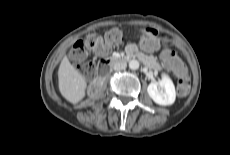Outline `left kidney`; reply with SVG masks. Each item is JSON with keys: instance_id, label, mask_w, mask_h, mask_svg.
I'll list each match as a JSON object with an SVG mask.
<instances>
[{"instance_id": "1", "label": "left kidney", "mask_w": 230, "mask_h": 155, "mask_svg": "<svg viewBox=\"0 0 230 155\" xmlns=\"http://www.w3.org/2000/svg\"><path fill=\"white\" fill-rule=\"evenodd\" d=\"M147 92L153 101L159 105L167 106L175 102V86L166 74H162L160 81L150 83Z\"/></svg>"}]
</instances>
